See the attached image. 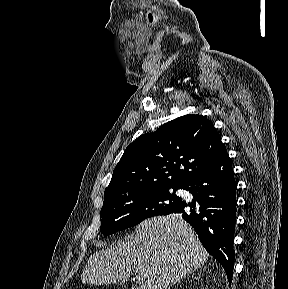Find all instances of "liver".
Returning a JSON list of instances; mask_svg holds the SVG:
<instances>
[{
  "instance_id": "1",
  "label": "liver",
  "mask_w": 288,
  "mask_h": 289,
  "mask_svg": "<svg viewBox=\"0 0 288 289\" xmlns=\"http://www.w3.org/2000/svg\"><path fill=\"white\" fill-rule=\"evenodd\" d=\"M208 252L180 215L140 223L135 236L93 254L81 275L83 283L126 282L132 272L143 278L139 289H170L207 262Z\"/></svg>"
}]
</instances>
